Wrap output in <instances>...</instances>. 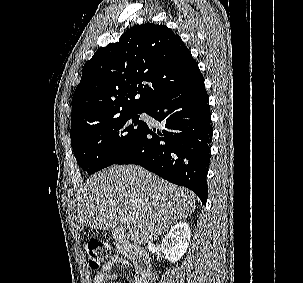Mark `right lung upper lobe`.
Returning <instances> with one entry per match:
<instances>
[{"label":"right lung upper lobe","mask_w":303,"mask_h":283,"mask_svg":"<svg viewBox=\"0 0 303 283\" xmlns=\"http://www.w3.org/2000/svg\"><path fill=\"white\" fill-rule=\"evenodd\" d=\"M200 74L191 52L170 28L154 23L134 26L85 63L72 98L70 134L146 111Z\"/></svg>","instance_id":"1"}]
</instances>
